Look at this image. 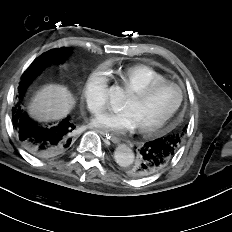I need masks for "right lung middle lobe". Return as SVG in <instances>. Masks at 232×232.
I'll use <instances>...</instances> for the list:
<instances>
[{
    "mask_svg": "<svg viewBox=\"0 0 232 232\" xmlns=\"http://www.w3.org/2000/svg\"><path fill=\"white\" fill-rule=\"evenodd\" d=\"M54 50V49H53ZM70 50L63 48V53L66 55ZM65 61V60H64ZM58 58L55 51L45 52L36 58L28 69L23 73L20 81L19 88L28 86L31 82L42 72L43 68L50 63H62L64 62Z\"/></svg>",
    "mask_w": 232,
    "mask_h": 232,
    "instance_id": "right-lung-middle-lobe-1",
    "label": "right lung middle lobe"
}]
</instances>
